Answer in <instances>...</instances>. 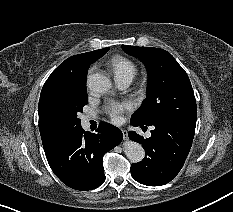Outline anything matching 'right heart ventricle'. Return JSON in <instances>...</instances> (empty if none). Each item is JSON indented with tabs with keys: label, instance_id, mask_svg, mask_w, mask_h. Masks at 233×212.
I'll return each mask as SVG.
<instances>
[{
	"label": "right heart ventricle",
	"instance_id": "right-heart-ventricle-1",
	"mask_svg": "<svg viewBox=\"0 0 233 212\" xmlns=\"http://www.w3.org/2000/svg\"><path fill=\"white\" fill-rule=\"evenodd\" d=\"M109 68L115 79H133L137 73V67L130 59L116 55L109 61Z\"/></svg>",
	"mask_w": 233,
	"mask_h": 212
}]
</instances>
